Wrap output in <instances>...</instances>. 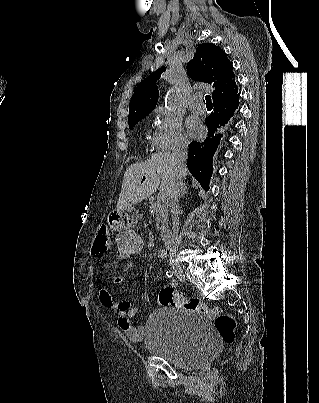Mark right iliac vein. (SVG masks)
Returning <instances> with one entry per match:
<instances>
[{"label": "right iliac vein", "instance_id": "1", "mask_svg": "<svg viewBox=\"0 0 319 403\" xmlns=\"http://www.w3.org/2000/svg\"><path fill=\"white\" fill-rule=\"evenodd\" d=\"M172 270L175 276L182 282H185V274L183 268L178 264H172Z\"/></svg>", "mask_w": 319, "mask_h": 403}]
</instances>
